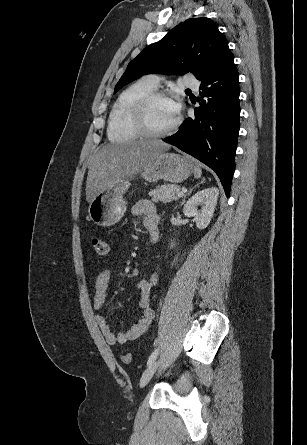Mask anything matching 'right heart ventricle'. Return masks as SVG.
Wrapping results in <instances>:
<instances>
[{
  "mask_svg": "<svg viewBox=\"0 0 307 445\" xmlns=\"http://www.w3.org/2000/svg\"><path fill=\"white\" fill-rule=\"evenodd\" d=\"M154 90L147 81H140L128 88L114 103L109 115L110 140H142L135 110L147 94Z\"/></svg>",
  "mask_w": 307,
  "mask_h": 445,
  "instance_id": "e07e8e85",
  "label": "right heart ventricle"
}]
</instances>
